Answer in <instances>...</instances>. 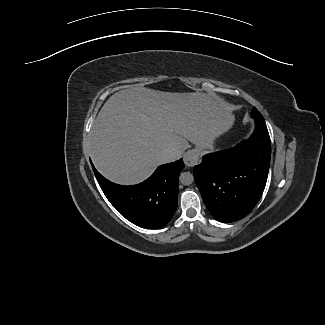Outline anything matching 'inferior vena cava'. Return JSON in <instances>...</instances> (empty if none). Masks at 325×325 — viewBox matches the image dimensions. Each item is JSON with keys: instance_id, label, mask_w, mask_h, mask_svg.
Returning a JSON list of instances; mask_svg holds the SVG:
<instances>
[{"instance_id": "obj_1", "label": "inferior vena cava", "mask_w": 325, "mask_h": 325, "mask_svg": "<svg viewBox=\"0 0 325 325\" xmlns=\"http://www.w3.org/2000/svg\"><path fill=\"white\" fill-rule=\"evenodd\" d=\"M161 158L164 162H171L177 159V153L173 149L167 148L161 152Z\"/></svg>"}]
</instances>
